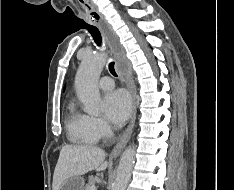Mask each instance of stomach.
Wrapping results in <instances>:
<instances>
[{
	"mask_svg": "<svg viewBox=\"0 0 234 190\" xmlns=\"http://www.w3.org/2000/svg\"><path fill=\"white\" fill-rule=\"evenodd\" d=\"M84 179L81 176H72L67 178L59 190H84Z\"/></svg>",
	"mask_w": 234,
	"mask_h": 190,
	"instance_id": "0dacf381",
	"label": "stomach"
}]
</instances>
